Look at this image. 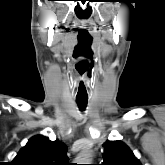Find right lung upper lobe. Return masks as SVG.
Listing matches in <instances>:
<instances>
[{"label":"right lung upper lobe","mask_w":165,"mask_h":165,"mask_svg":"<svg viewBox=\"0 0 165 165\" xmlns=\"http://www.w3.org/2000/svg\"><path fill=\"white\" fill-rule=\"evenodd\" d=\"M67 147L59 140L50 141L44 136H34L11 162L13 165H70Z\"/></svg>","instance_id":"obj_1"}]
</instances>
